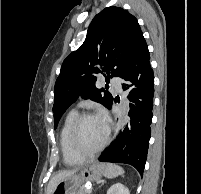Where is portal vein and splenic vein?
<instances>
[{"instance_id":"18ae733b","label":"portal vein and splenic vein","mask_w":201,"mask_h":194,"mask_svg":"<svg viewBox=\"0 0 201 194\" xmlns=\"http://www.w3.org/2000/svg\"><path fill=\"white\" fill-rule=\"evenodd\" d=\"M87 192H88L89 194H91L92 190H91V189H88Z\"/></svg>"}]
</instances>
